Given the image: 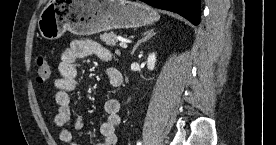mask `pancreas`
<instances>
[{"instance_id":"pancreas-1","label":"pancreas","mask_w":276,"mask_h":145,"mask_svg":"<svg viewBox=\"0 0 276 145\" xmlns=\"http://www.w3.org/2000/svg\"><path fill=\"white\" fill-rule=\"evenodd\" d=\"M101 40L106 43V45L115 47L117 40H116V34L113 32L110 33H104L100 35Z\"/></svg>"}]
</instances>
